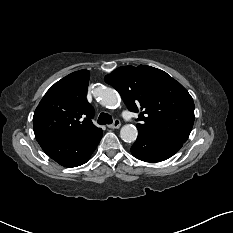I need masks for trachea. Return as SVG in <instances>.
Instances as JSON below:
<instances>
[{"mask_svg": "<svg viewBox=\"0 0 233 233\" xmlns=\"http://www.w3.org/2000/svg\"><path fill=\"white\" fill-rule=\"evenodd\" d=\"M98 123L101 125L112 124V117L107 113H101L98 117Z\"/></svg>", "mask_w": 233, "mask_h": 233, "instance_id": "1", "label": "trachea"}]
</instances>
